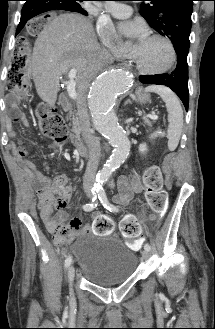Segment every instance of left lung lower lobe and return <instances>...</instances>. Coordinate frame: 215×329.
Instances as JSON below:
<instances>
[{"instance_id": "obj_1", "label": "left lung lower lobe", "mask_w": 215, "mask_h": 329, "mask_svg": "<svg viewBox=\"0 0 215 329\" xmlns=\"http://www.w3.org/2000/svg\"><path fill=\"white\" fill-rule=\"evenodd\" d=\"M177 53V65L173 72L157 75H141L139 80L143 84L165 85L172 89L182 100L186 110H188V51L179 50Z\"/></svg>"}]
</instances>
